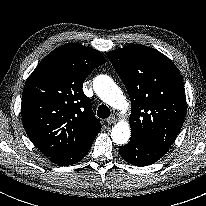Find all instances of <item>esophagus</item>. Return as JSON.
<instances>
[{
  "label": "esophagus",
  "mask_w": 206,
  "mask_h": 206,
  "mask_svg": "<svg viewBox=\"0 0 206 206\" xmlns=\"http://www.w3.org/2000/svg\"><path fill=\"white\" fill-rule=\"evenodd\" d=\"M116 121H117L116 118L113 116L106 120L107 124L109 125L116 123Z\"/></svg>",
  "instance_id": "obj_1"
}]
</instances>
